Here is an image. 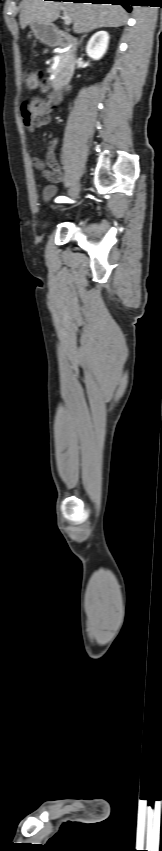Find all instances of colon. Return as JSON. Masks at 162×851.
Here are the masks:
<instances>
[{"label":"colon","mask_w":162,"mask_h":851,"mask_svg":"<svg viewBox=\"0 0 162 851\" xmlns=\"http://www.w3.org/2000/svg\"><path fill=\"white\" fill-rule=\"evenodd\" d=\"M43 81L42 74L37 70H27L24 73V82L29 90L36 89Z\"/></svg>","instance_id":"5ec220e1"}]
</instances>
